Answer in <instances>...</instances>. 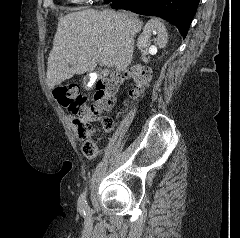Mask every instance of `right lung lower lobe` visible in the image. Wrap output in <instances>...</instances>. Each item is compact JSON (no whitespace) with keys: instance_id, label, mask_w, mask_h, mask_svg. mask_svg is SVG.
<instances>
[{"instance_id":"obj_1","label":"right lung lower lobe","mask_w":240,"mask_h":238,"mask_svg":"<svg viewBox=\"0 0 240 238\" xmlns=\"http://www.w3.org/2000/svg\"><path fill=\"white\" fill-rule=\"evenodd\" d=\"M200 0H105L113 9L130 10L142 15H155L174 24L186 37Z\"/></svg>"}]
</instances>
